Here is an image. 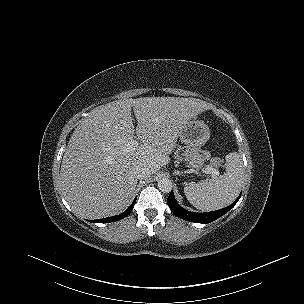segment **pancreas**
<instances>
[{
    "mask_svg": "<svg viewBox=\"0 0 304 304\" xmlns=\"http://www.w3.org/2000/svg\"><path fill=\"white\" fill-rule=\"evenodd\" d=\"M221 162H222V160H221L220 158L215 157V158L212 159V163H211L210 166H211V167H212V166H217V165H219Z\"/></svg>",
    "mask_w": 304,
    "mask_h": 304,
    "instance_id": "pancreas-1",
    "label": "pancreas"
}]
</instances>
